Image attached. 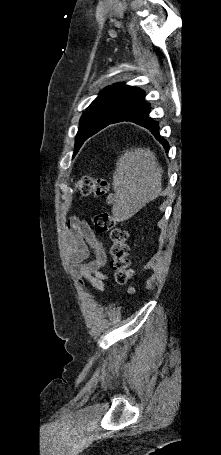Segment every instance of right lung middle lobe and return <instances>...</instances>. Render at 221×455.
<instances>
[{
    "label": "right lung middle lobe",
    "instance_id": "obj_1",
    "mask_svg": "<svg viewBox=\"0 0 221 455\" xmlns=\"http://www.w3.org/2000/svg\"><path fill=\"white\" fill-rule=\"evenodd\" d=\"M126 111L111 105H90L80 120V126L75 138L74 155L90 136L107 125L113 123Z\"/></svg>",
    "mask_w": 221,
    "mask_h": 455
}]
</instances>
